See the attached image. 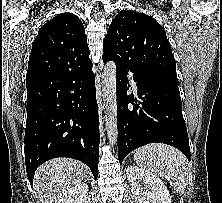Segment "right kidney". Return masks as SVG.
Masks as SVG:
<instances>
[{
    "label": "right kidney",
    "instance_id": "obj_1",
    "mask_svg": "<svg viewBox=\"0 0 222 203\" xmlns=\"http://www.w3.org/2000/svg\"><path fill=\"white\" fill-rule=\"evenodd\" d=\"M88 190L86 183H78L65 192L58 203H87Z\"/></svg>",
    "mask_w": 222,
    "mask_h": 203
}]
</instances>
